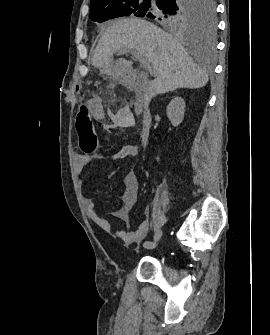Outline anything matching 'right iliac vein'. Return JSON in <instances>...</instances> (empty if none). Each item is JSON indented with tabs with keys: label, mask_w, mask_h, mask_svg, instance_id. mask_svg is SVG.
<instances>
[{
	"label": "right iliac vein",
	"mask_w": 270,
	"mask_h": 335,
	"mask_svg": "<svg viewBox=\"0 0 270 335\" xmlns=\"http://www.w3.org/2000/svg\"><path fill=\"white\" fill-rule=\"evenodd\" d=\"M163 231L161 229L157 230L154 234L153 243L156 245V242L162 237Z\"/></svg>",
	"instance_id": "63e3f726"
}]
</instances>
